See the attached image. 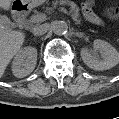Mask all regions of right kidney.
<instances>
[{
	"label": "right kidney",
	"instance_id": "obj_1",
	"mask_svg": "<svg viewBox=\"0 0 119 119\" xmlns=\"http://www.w3.org/2000/svg\"><path fill=\"white\" fill-rule=\"evenodd\" d=\"M37 50L28 46L21 49L14 58L12 71L15 77L23 78L29 75L36 66Z\"/></svg>",
	"mask_w": 119,
	"mask_h": 119
}]
</instances>
